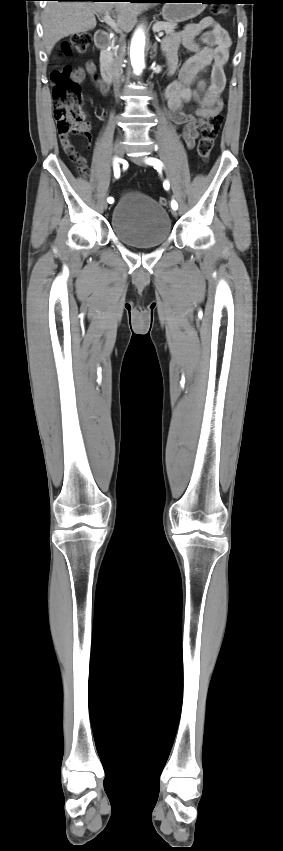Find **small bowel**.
I'll return each instance as SVG.
<instances>
[{"instance_id": "1", "label": "small bowel", "mask_w": 283, "mask_h": 851, "mask_svg": "<svg viewBox=\"0 0 283 851\" xmlns=\"http://www.w3.org/2000/svg\"><path fill=\"white\" fill-rule=\"evenodd\" d=\"M230 45L227 31L212 17H204L197 23L188 24L182 31L168 35L163 41L170 74L176 71L177 52L180 47L194 52L182 65L178 79L170 83L164 91L167 118L173 128L181 131L189 149L194 148L205 119L223 105L220 95L225 87L224 68L229 59ZM208 69L209 77L202 78V74ZM86 74L92 77L97 91L106 97L110 86L97 74L94 62L89 61L84 67L77 68L73 79L80 83ZM60 142L73 161L79 158L86 167L85 158L76 152L68 137H60Z\"/></svg>"}]
</instances>
